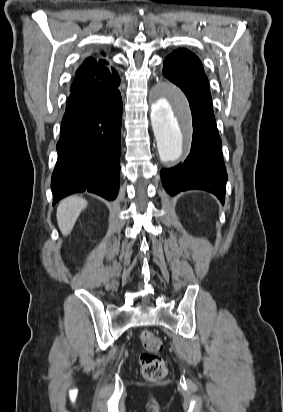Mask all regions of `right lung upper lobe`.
Masks as SVG:
<instances>
[{"instance_id": "1", "label": "right lung upper lobe", "mask_w": 283, "mask_h": 412, "mask_svg": "<svg viewBox=\"0 0 283 412\" xmlns=\"http://www.w3.org/2000/svg\"><path fill=\"white\" fill-rule=\"evenodd\" d=\"M93 79L111 82L119 79V76L106 60L99 59L96 61L93 58H88L76 71V78L71 86V91Z\"/></svg>"}]
</instances>
